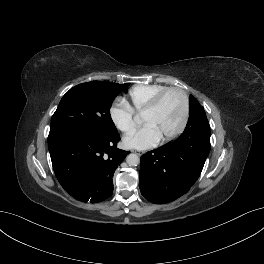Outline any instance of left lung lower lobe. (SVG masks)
Here are the masks:
<instances>
[{
  "mask_svg": "<svg viewBox=\"0 0 264 264\" xmlns=\"http://www.w3.org/2000/svg\"><path fill=\"white\" fill-rule=\"evenodd\" d=\"M210 151V126L193 125L172 143L141 156L139 185L150 202L163 204L183 194L196 182Z\"/></svg>",
  "mask_w": 264,
  "mask_h": 264,
  "instance_id": "1",
  "label": "left lung lower lobe"
}]
</instances>
